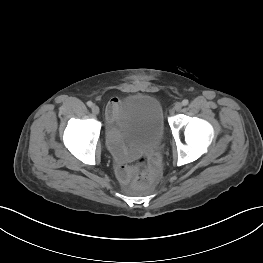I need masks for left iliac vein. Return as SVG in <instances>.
<instances>
[{
    "instance_id": "left-iliac-vein-1",
    "label": "left iliac vein",
    "mask_w": 263,
    "mask_h": 263,
    "mask_svg": "<svg viewBox=\"0 0 263 263\" xmlns=\"http://www.w3.org/2000/svg\"><path fill=\"white\" fill-rule=\"evenodd\" d=\"M182 109V104L181 103H176L174 106L175 111H180Z\"/></svg>"
}]
</instances>
